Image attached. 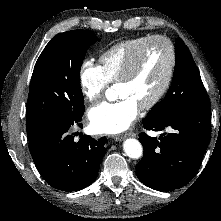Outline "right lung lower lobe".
<instances>
[{"label":"right lung lower lobe","mask_w":221,"mask_h":221,"mask_svg":"<svg viewBox=\"0 0 221 221\" xmlns=\"http://www.w3.org/2000/svg\"><path fill=\"white\" fill-rule=\"evenodd\" d=\"M83 114L54 119L29 140L34 163L41 176L53 188L67 192L78 191L96 179L106 153L107 138L95 140L85 135L75 142L69 129L79 124Z\"/></svg>","instance_id":"obj_1"}]
</instances>
